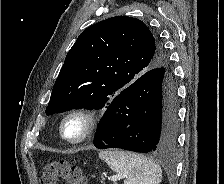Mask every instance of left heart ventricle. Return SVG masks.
<instances>
[{"instance_id":"b2bd125f","label":"left heart ventricle","mask_w":224,"mask_h":184,"mask_svg":"<svg viewBox=\"0 0 224 184\" xmlns=\"http://www.w3.org/2000/svg\"><path fill=\"white\" fill-rule=\"evenodd\" d=\"M83 130V124L82 121L74 118L69 120L65 127H64V133L68 138L75 139L80 136Z\"/></svg>"}]
</instances>
